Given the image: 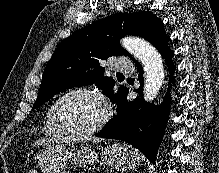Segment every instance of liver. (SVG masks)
<instances>
[{"label":"liver","mask_w":219,"mask_h":173,"mask_svg":"<svg viewBox=\"0 0 219 173\" xmlns=\"http://www.w3.org/2000/svg\"><path fill=\"white\" fill-rule=\"evenodd\" d=\"M88 140H93L94 142L100 141V139H98V138H90V139H88ZM45 142H46L45 140H38V141H36V142L34 143V145H42V144H44Z\"/></svg>","instance_id":"6515ba94"}]
</instances>
